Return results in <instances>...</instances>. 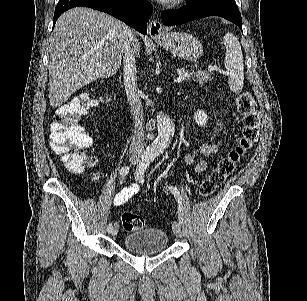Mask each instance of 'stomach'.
<instances>
[{
	"label": "stomach",
	"mask_w": 307,
	"mask_h": 301,
	"mask_svg": "<svg viewBox=\"0 0 307 301\" xmlns=\"http://www.w3.org/2000/svg\"><path fill=\"white\" fill-rule=\"evenodd\" d=\"M152 38L166 50H170L176 56L186 58V60H198L203 54L200 40L189 32H164V34H158Z\"/></svg>",
	"instance_id": "stomach-1"
}]
</instances>
